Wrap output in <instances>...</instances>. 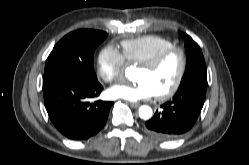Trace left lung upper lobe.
<instances>
[{
  "label": "left lung upper lobe",
  "instance_id": "5c2ea615",
  "mask_svg": "<svg viewBox=\"0 0 249 165\" xmlns=\"http://www.w3.org/2000/svg\"><path fill=\"white\" fill-rule=\"evenodd\" d=\"M187 39L185 49L187 53L186 69L178 90L190 85L207 86V70L202 51L198 44L187 34L180 32Z\"/></svg>",
  "mask_w": 249,
  "mask_h": 165
}]
</instances>
